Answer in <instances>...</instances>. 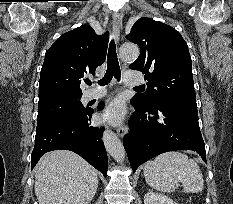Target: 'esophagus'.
I'll use <instances>...</instances> for the list:
<instances>
[{"label": "esophagus", "instance_id": "esophagus-1", "mask_svg": "<svg viewBox=\"0 0 233 204\" xmlns=\"http://www.w3.org/2000/svg\"><path fill=\"white\" fill-rule=\"evenodd\" d=\"M112 20H113L115 41L116 43H118L119 38H120V30L122 27V18L119 14L114 13L112 16ZM116 131H117L118 136L123 137L124 135L127 134L128 127L126 125H120Z\"/></svg>", "mask_w": 233, "mask_h": 204}]
</instances>
